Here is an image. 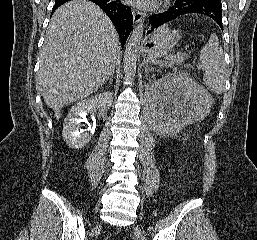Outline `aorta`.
Here are the masks:
<instances>
[{"mask_svg":"<svg viewBox=\"0 0 257 240\" xmlns=\"http://www.w3.org/2000/svg\"><path fill=\"white\" fill-rule=\"evenodd\" d=\"M144 31V22L141 21L131 33L126 45L123 57L124 75L127 81H134L136 74V63L138 58V50Z\"/></svg>","mask_w":257,"mask_h":240,"instance_id":"aorta-1","label":"aorta"}]
</instances>
